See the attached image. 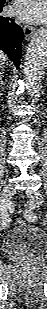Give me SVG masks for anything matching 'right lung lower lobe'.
I'll return each mask as SVG.
<instances>
[{"label": "right lung lower lobe", "instance_id": "obj_1", "mask_svg": "<svg viewBox=\"0 0 47 309\" xmlns=\"http://www.w3.org/2000/svg\"><path fill=\"white\" fill-rule=\"evenodd\" d=\"M5 0H0V12ZM23 41V30L13 18L0 16V48L19 67Z\"/></svg>", "mask_w": 47, "mask_h": 309}]
</instances>
